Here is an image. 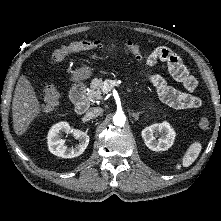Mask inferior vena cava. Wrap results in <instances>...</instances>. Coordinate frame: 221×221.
Wrapping results in <instances>:
<instances>
[{
  "label": "inferior vena cava",
  "instance_id": "1",
  "mask_svg": "<svg viewBox=\"0 0 221 221\" xmlns=\"http://www.w3.org/2000/svg\"><path fill=\"white\" fill-rule=\"evenodd\" d=\"M102 112V109L99 108V107H93V108H90L87 112H86V118L88 119H92V118H95L97 116H99Z\"/></svg>",
  "mask_w": 221,
  "mask_h": 221
}]
</instances>
